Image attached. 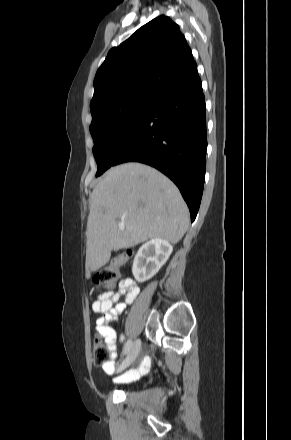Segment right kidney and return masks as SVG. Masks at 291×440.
<instances>
[{"instance_id":"obj_1","label":"right kidney","mask_w":291,"mask_h":440,"mask_svg":"<svg viewBox=\"0 0 291 440\" xmlns=\"http://www.w3.org/2000/svg\"><path fill=\"white\" fill-rule=\"evenodd\" d=\"M173 251L172 245L161 238L144 243L135 255L132 273L138 282L152 278L168 260Z\"/></svg>"}]
</instances>
